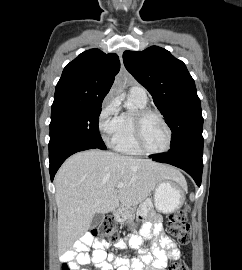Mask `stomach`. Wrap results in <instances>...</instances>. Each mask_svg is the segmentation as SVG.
Listing matches in <instances>:
<instances>
[{
	"mask_svg": "<svg viewBox=\"0 0 242 270\" xmlns=\"http://www.w3.org/2000/svg\"><path fill=\"white\" fill-rule=\"evenodd\" d=\"M186 184H181L173 180H164L158 183L154 193V204L158 211L162 213H173L184 203ZM126 211L122 210L118 216L126 220Z\"/></svg>",
	"mask_w": 242,
	"mask_h": 270,
	"instance_id": "0dacf381",
	"label": "stomach"
}]
</instances>
